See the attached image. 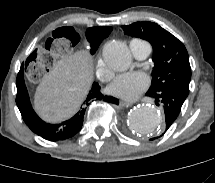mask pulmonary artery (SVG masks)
<instances>
[{
  "label": "pulmonary artery",
  "instance_id": "1",
  "mask_svg": "<svg viewBox=\"0 0 215 183\" xmlns=\"http://www.w3.org/2000/svg\"><path fill=\"white\" fill-rule=\"evenodd\" d=\"M129 47L133 56L138 60L146 59L152 51V47L148 42L138 39L132 40Z\"/></svg>",
  "mask_w": 215,
  "mask_h": 183
}]
</instances>
